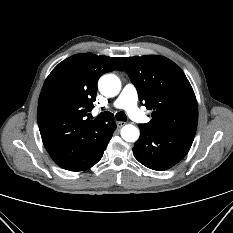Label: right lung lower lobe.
Segmentation results:
<instances>
[{"label":"right lung lower lobe","instance_id":"right-lung-lower-lobe-1","mask_svg":"<svg viewBox=\"0 0 233 233\" xmlns=\"http://www.w3.org/2000/svg\"><path fill=\"white\" fill-rule=\"evenodd\" d=\"M115 128H116V124L114 122L106 124L104 128V132L100 138V141L98 142L97 153L93 158V160L80 170H70V171H82L89 169L90 167L95 165L102 158L103 152L106 149L107 144L109 143Z\"/></svg>","mask_w":233,"mask_h":233}]
</instances>
